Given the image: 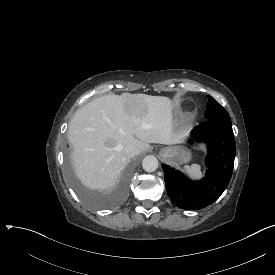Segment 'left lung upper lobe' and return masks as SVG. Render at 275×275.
Listing matches in <instances>:
<instances>
[{
  "instance_id": "left-lung-upper-lobe-1",
  "label": "left lung upper lobe",
  "mask_w": 275,
  "mask_h": 275,
  "mask_svg": "<svg viewBox=\"0 0 275 275\" xmlns=\"http://www.w3.org/2000/svg\"><path fill=\"white\" fill-rule=\"evenodd\" d=\"M208 104L205 112L207 120H222L227 123H231V119L227 111L211 96H208Z\"/></svg>"
}]
</instances>
